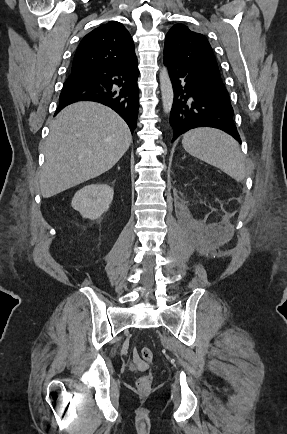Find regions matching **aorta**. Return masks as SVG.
<instances>
[{"label": "aorta", "mask_w": 287, "mask_h": 434, "mask_svg": "<svg viewBox=\"0 0 287 434\" xmlns=\"http://www.w3.org/2000/svg\"><path fill=\"white\" fill-rule=\"evenodd\" d=\"M160 89H161V98L163 103V111L165 114L170 113L172 105H173V99H174V92L172 83L169 77L168 70L165 66L162 67L160 70Z\"/></svg>", "instance_id": "1"}]
</instances>
